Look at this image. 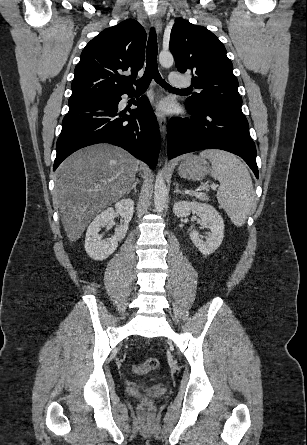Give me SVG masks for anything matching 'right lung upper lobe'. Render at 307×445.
I'll return each instance as SVG.
<instances>
[{"instance_id":"1","label":"right lung upper lobe","mask_w":307,"mask_h":445,"mask_svg":"<svg viewBox=\"0 0 307 445\" xmlns=\"http://www.w3.org/2000/svg\"><path fill=\"white\" fill-rule=\"evenodd\" d=\"M146 32L134 19L103 30L84 48L74 70L69 102L132 88L144 64ZM132 75H120L122 71Z\"/></svg>"}]
</instances>
